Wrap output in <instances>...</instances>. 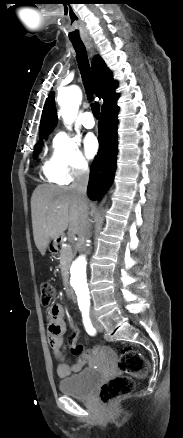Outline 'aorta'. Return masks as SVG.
Wrapping results in <instances>:
<instances>
[{
	"label": "aorta",
	"mask_w": 183,
	"mask_h": 438,
	"mask_svg": "<svg viewBox=\"0 0 183 438\" xmlns=\"http://www.w3.org/2000/svg\"><path fill=\"white\" fill-rule=\"evenodd\" d=\"M82 99L81 90L77 86H68L58 91V103L64 123L70 125L75 120ZM88 262L85 256H79L71 266L70 287L74 291L78 305L90 304V289L87 278Z\"/></svg>",
	"instance_id": "aorta-1"
}]
</instances>
